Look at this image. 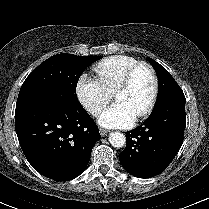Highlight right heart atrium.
I'll use <instances>...</instances> for the list:
<instances>
[{"label": "right heart atrium", "mask_w": 209, "mask_h": 209, "mask_svg": "<svg viewBox=\"0 0 209 209\" xmlns=\"http://www.w3.org/2000/svg\"><path fill=\"white\" fill-rule=\"evenodd\" d=\"M76 91L80 102L92 115H98L113 96L98 78L86 73L79 77Z\"/></svg>", "instance_id": "obj_1"}]
</instances>
